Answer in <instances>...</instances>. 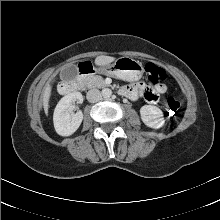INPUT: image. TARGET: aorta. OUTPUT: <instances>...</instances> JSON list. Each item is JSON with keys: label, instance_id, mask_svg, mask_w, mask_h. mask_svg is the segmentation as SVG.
<instances>
[{"label": "aorta", "instance_id": "aorta-1", "mask_svg": "<svg viewBox=\"0 0 220 220\" xmlns=\"http://www.w3.org/2000/svg\"><path fill=\"white\" fill-rule=\"evenodd\" d=\"M102 96L104 97V98H110L111 97V95H112V91H111V89H109V88H105V89H103L102 90Z\"/></svg>", "mask_w": 220, "mask_h": 220}]
</instances>
